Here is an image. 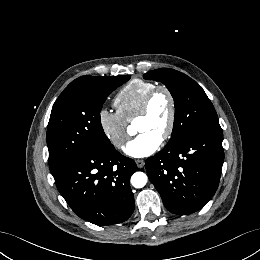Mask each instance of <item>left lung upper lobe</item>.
I'll list each match as a JSON object with an SVG mask.
<instances>
[{
  "label": "left lung upper lobe",
  "instance_id": "obj_1",
  "mask_svg": "<svg viewBox=\"0 0 260 260\" xmlns=\"http://www.w3.org/2000/svg\"><path fill=\"white\" fill-rule=\"evenodd\" d=\"M145 79L166 85L175 102V120L167 145L177 143L197 130L220 127L216 111L202 87L187 75L169 68L150 71Z\"/></svg>",
  "mask_w": 260,
  "mask_h": 260
}]
</instances>
